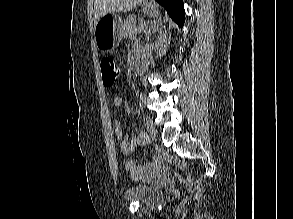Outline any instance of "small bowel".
I'll list each match as a JSON object with an SVG mask.
<instances>
[{
    "label": "small bowel",
    "mask_w": 293,
    "mask_h": 219,
    "mask_svg": "<svg viewBox=\"0 0 293 219\" xmlns=\"http://www.w3.org/2000/svg\"><path fill=\"white\" fill-rule=\"evenodd\" d=\"M113 102L116 110H119L122 106V98L117 95L114 97ZM114 132L118 139L123 138L121 125L117 120L114 122ZM146 136L147 135L144 131H137L132 138L123 139L120 143L121 152L125 155L130 154L137 146L142 145V142Z\"/></svg>",
    "instance_id": "obj_1"
}]
</instances>
